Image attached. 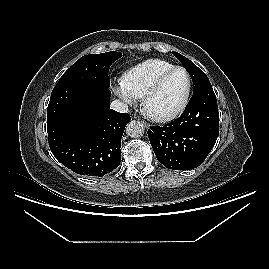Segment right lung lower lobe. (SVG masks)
Listing matches in <instances>:
<instances>
[{"label":"right lung lower lobe","instance_id":"1","mask_svg":"<svg viewBox=\"0 0 269 269\" xmlns=\"http://www.w3.org/2000/svg\"><path fill=\"white\" fill-rule=\"evenodd\" d=\"M111 92L93 84L57 85L47 108V132L53 155L73 172L98 176L121 160V137L129 114L110 109Z\"/></svg>","mask_w":269,"mask_h":269}]
</instances>
